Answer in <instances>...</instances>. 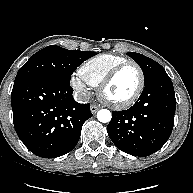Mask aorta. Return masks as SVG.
<instances>
[{"label":"aorta","instance_id":"obj_1","mask_svg":"<svg viewBox=\"0 0 193 193\" xmlns=\"http://www.w3.org/2000/svg\"><path fill=\"white\" fill-rule=\"evenodd\" d=\"M111 117H112L111 112L107 109H101L97 113V118L102 123L110 122Z\"/></svg>","mask_w":193,"mask_h":193}]
</instances>
